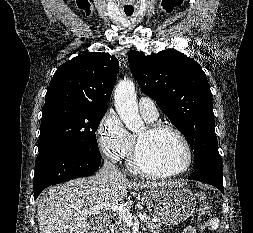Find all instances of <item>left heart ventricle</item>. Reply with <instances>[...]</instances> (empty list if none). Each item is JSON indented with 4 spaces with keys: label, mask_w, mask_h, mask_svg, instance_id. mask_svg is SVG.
<instances>
[{
    "label": "left heart ventricle",
    "mask_w": 253,
    "mask_h": 233,
    "mask_svg": "<svg viewBox=\"0 0 253 233\" xmlns=\"http://www.w3.org/2000/svg\"><path fill=\"white\" fill-rule=\"evenodd\" d=\"M138 136L142 138L141 160L147 169L174 171L185 164V148L172 132L161 131L149 135L145 129Z\"/></svg>",
    "instance_id": "1"
}]
</instances>
